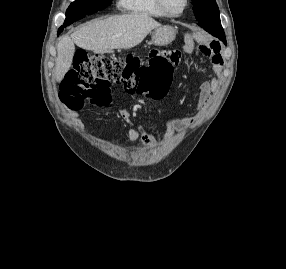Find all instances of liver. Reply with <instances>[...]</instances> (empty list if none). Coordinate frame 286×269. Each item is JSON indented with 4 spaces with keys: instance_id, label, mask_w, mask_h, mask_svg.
I'll return each instance as SVG.
<instances>
[{
    "instance_id": "6515ba94",
    "label": "liver",
    "mask_w": 286,
    "mask_h": 269,
    "mask_svg": "<svg viewBox=\"0 0 286 269\" xmlns=\"http://www.w3.org/2000/svg\"><path fill=\"white\" fill-rule=\"evenodd\" d=\"M160 26L152 17L141 13L117 15L83 25L71 37H63L57 45L56 80L61 82L69 71L75 44L94 53L130 49L141 43L152 29Z\"/></svg>"
}]
</instances>
